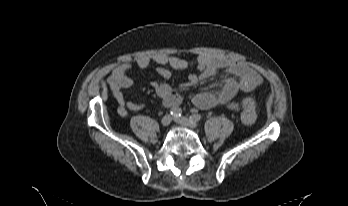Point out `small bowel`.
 <instances>
[{"instance_id": "obj_1", "label": "small bowel", "mask_w": 348, "mask_h": 206, "mask_svg": "<svg viewBox=\"0 0 348 206\" xmlns=\"http://www.w3.org/2000/svg\"><path fill=\"white\" fill-rule=\"evenodd\" d=\"M136 63L142 69L148 68L152 63L158 64L157 73L164 79L171 77V71L166 66L182 70L190 65L182 58L164 54L155 57L141 56L137 58ZM195 65L198 72L191 73L188 81L181 85L184 90L194 87L201 80L215 75L219 70H227L236 76V78H226L222 87L216 92L194 94L192 102L201 109L225 107L232 111H240L241 106L234 102L233 98L240 92H250L262 82L261 76L250 66L224 56L204 53L197 58ZM130 68V63H121L112 70L107 78L108 86L119 105L118 113L122 117H127L129 111H139L145 107L144 103H135L124 98L123 92L134 84L133 77L128 73ZM151 86L166 107L174 108L181 103L180 94L168 84L152 82Z\"/></svg>"}]
</instances>
